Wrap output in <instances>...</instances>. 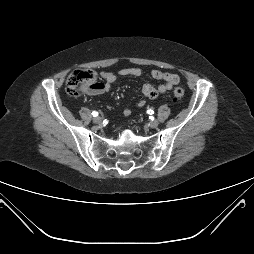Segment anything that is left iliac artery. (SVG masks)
I'll return each mask as SVG.
<instances>
[{
    "label": "left iliac artery",
    "instance_id": "1",
    "mask_svg": "<svg viewBox=\"0 0 254 254\" xmlns=\"http://www.w3.org/2000/svg\"><path fill=\"white\" fill-rule=\"evenodd\" d=\"M147 113H148V114H153L154 111H153V110H148Z\"/></svg>",
    "mask_w": 254,
    "mask_h": 254
}]
</instances>
